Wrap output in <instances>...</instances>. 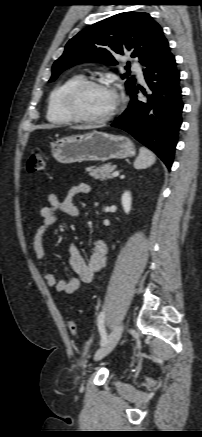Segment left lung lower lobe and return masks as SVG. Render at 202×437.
<instances>
[{"instance_id":"0a47b994","label":"left lung lower lobe","mask_w":202,"mask_h":437,"mask_svg":"<svg viewBox=\"0 0 202 437\" xmlns=\"http://www.w3.org/2000/svg\"><path fill=\"white\" fill-rule=\"evenodd\" d=\"M144 77L148 90L145 98L137 97L139 87L130 93L128 108L111 125L132 134L154 151L171 168L178 133L182 123L180 73L169 44L147 65Z\"/></svg>"}]
</instances>
